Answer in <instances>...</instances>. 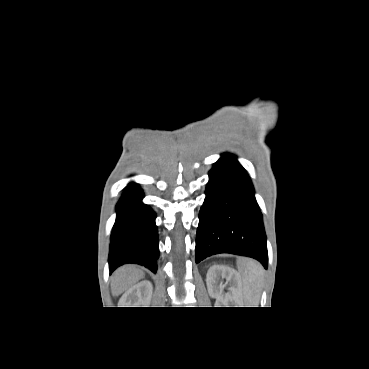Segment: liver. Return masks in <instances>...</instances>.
<instances>
[{
  "instance_id": "6515ba94",
  "label": "liver",
  "mask_w": 369,
  "mask_h": 369,
  "mask_svg": "<svg viewBox=\"0 0 369 369\" xmlns=\"http://www.w3.org/2000/svg\"><path fill=\"white\" fill-rule=\"evenodd\" d=\"M144 276V272L136 266H123L113 275L111 291L113 296H119L137 283Z\"/></svg>"
}]
</instances>
